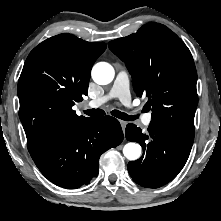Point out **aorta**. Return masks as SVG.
Listing matches in <instances>:
<instances>
[{"instance_id":"obj_1","label":"aorta","mask_w":221,"mask_h":221,"mask_svg":"<svg viewBox=\"0 0 221 221\" xmlns=\"http://www.w3.org/2000/svg\"><path fill=\"white\" fill-rule=\"evenodd\" d=\"M114 74L113 67L106 62H99L92 69V78L99 85L109 84ZM123 154L131 161L137 160L141 156V146L134 142L127 143L123 148Z\"/></svg>"}]
</instances>
